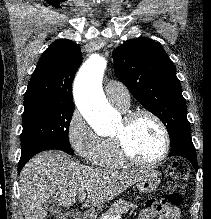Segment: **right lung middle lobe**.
I'll return each instance as SVG.
<instances>
[{"label": "right lung middle lobe", "mask_w": 211, "mask_h": 219, "mask_svg": "<svg viewBox=\"0 0 211 219\" xmlns=\"http://www.w3.org/2000/svg\"><path fill=\"white\" fill-rule=\"evenodd\" d=\"M73 110L74 105L49 100L24 102L21 155L42 147H54L73 155L68 139Z\"/></svg>", "instance_id": "dd1d6c3e"}]
</instances>
